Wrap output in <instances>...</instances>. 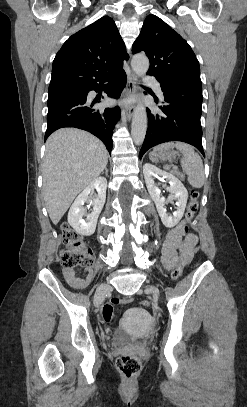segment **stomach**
<instances>
[{
    "instance_id": "stomach-1",
    "label": "stomach",
    "mask_w": 247,
    "mask_h": 407,
    "mask_svg": "<svg viewBox=\"0 0 247 407\" xmlns=\"http://www.w3.org/2000/svg\"><path fill=\"white\" fill-rule=\"evenodd\" d=\"M149 157L153 162L171 161L175 158V153L169 150H159L151 152Z\"/></svg>"
}]
</instances>
